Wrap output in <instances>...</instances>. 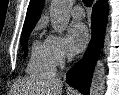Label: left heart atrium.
I'll return each instance as SVG.
<instances>
[{"mask_svg":"<svg viewBox=\"0 0 119 95\" xmlns=\"http://www.w3.org/2000/svg\"><path fill=\"white\" fill-rule=\"evenodd\" d=\"M68 40L72 52L83 51L89 41V31L86 25L81 22L72 23L69 28Z\"/></svg>","mask_w":119,"mask_h":95,"instance_id":"obj_1","label":"left heart atrium"}]
</instances>
